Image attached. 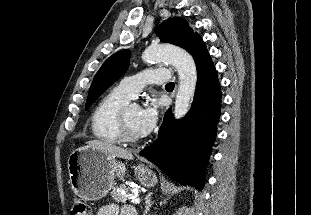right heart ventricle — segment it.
Segmentation results:
<instances>
[{
	"mask_svg": "<svg viewBox=\"0 0 311 215\" xmlns=\"http://www.w3.org/2000/svg\"><path fill=\"white\" fill-rule=\"evenodd\" d=\"M130 98L117 88L109 91L96 105L91 117V129L95 138L108 144L122 142L118 115Z\"/></svg>",
	"mask_w": 311,
	"mask_h": 215,
	"instance_id": "right-heart-ventricle-1",
	"label": "right heart ventricle"
}]
</instances>
